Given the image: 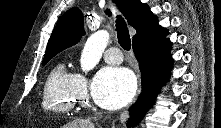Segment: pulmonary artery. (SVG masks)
<instances>
[{
	"instance_id": "obj_1",
	"label": "pulmonary artery",
	"mask_w": 221,
	"mask_h": 128,
	"mask_svg": "<svg viewBox=\"0 0 221 128\" xmlns=\"http://www.w3.org/2000/svg\"><path fill=\"white\" fill-rule=\"evenodd\" d=\"M123 56L118 47H110L104 54V60L112 65H118L122 62Z\"/></svg>"
}]
</instances>
